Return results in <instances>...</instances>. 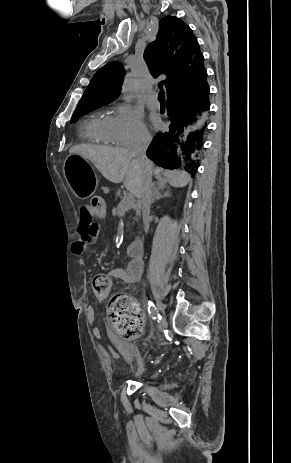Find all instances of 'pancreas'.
<instances>
[{"mask_svg": "<svg viewBox=\"0 0 291 463\" xmlns=\"http://www.w3.org/2000/svg\"><path fill=\"white\" fill-rule=\"evenodd\" d=\"M115 196H116V198H121V199L123 198V195L121 194L120 190H116Z\"/></svg>", "mask_w": 291, "mask_h": 463, "instance_id": "obj_1", "label": "pancreas"}]
</instances>
